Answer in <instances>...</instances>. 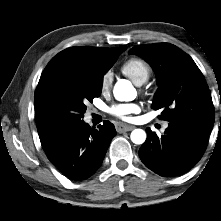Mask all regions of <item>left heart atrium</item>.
Wrapping results in <instances>:
<instances>
[{
	"instance_id": "obj_1",
	"label": "left heart atrium",
	"mask_w": 221,
	"mask_h": 221,
	"mask_svg": "<svg viewBox=\"0 0 221 221\" xmlns=\"http://www.w3.org/2000/svg\"><path fill=\"white\" fill-rule=\"evenodd\" d=\"M109 112L118 118L128 120L133 114L139 112V107L133 103L118 104L111 107Z\"/></svg>"
}]
</instances>
